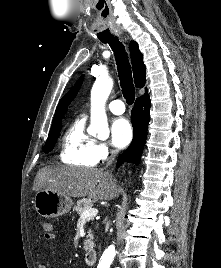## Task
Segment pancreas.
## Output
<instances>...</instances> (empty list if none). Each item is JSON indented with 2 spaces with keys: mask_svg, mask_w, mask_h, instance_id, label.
<instances>
[{
  "mask_svg": "<svg viewBox=\"0 0 221 268\" xmlns=\"http://www.w3.org/2000/svg\"><path fill=\"white\" fill-rule=\"evenodd\" d=\"M93 201L91 199L83 198L77 201L76 205L73 208V211H76L80 216L83 213L84 210L89 209L92 207ZM93 235L91 233V230H89L87 235V240L84 241V249L88 250L93 248Z\"/></svg>",
  "mask_w": 221,
  "mask_h": 268,
  "instance_id": "obj_1",
  "label": "pancreas"
}]
</instances>
